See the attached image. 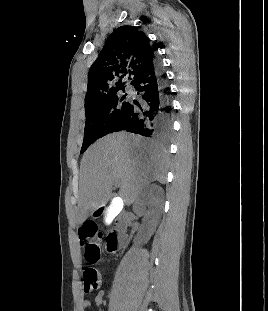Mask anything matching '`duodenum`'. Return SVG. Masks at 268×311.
<instances>
[{
    "label": "duodenum",
    "mask_w": 268,
    "mask_h": 311,
    "mask_svg": "<svg viewBox=\"0 0 268 311\" xmlns=\"http://www.w3.org/2000/svg\"><path fill=\"white\" fill-rule=\"evenodd\" d=\"M114 224V229L108 234L106 239V248L109 253H114L119 249L127 227L126 221L121 217L116 218Z\"/></svg>",
    "instance_id": "410a0bca"
}]
</instances>
